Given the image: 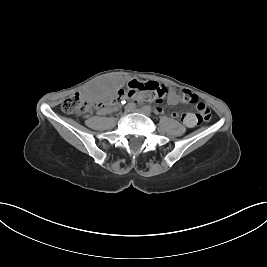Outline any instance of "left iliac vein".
Returning <instances> with one entry per match:
<instances>
[{"label": "left iliac vein", "instance_id": "4c4485c4", "mask_svg": "<svg viewBox=\"0 0 267 267\" xmlns=\"http://www.w3.org/2000/svg\"><path fill=\"white\" fill-rule=\"evenodd\" d=\"M138 112H140V113H142V114H144L146 116H150V113H151V112L147 111L144 108L139 109Z\"/></svg>", "mask_w": 267, "mask_h": 267}]
</instances>
